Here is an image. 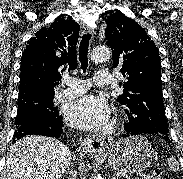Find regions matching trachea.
<instances>
[{
	"label": "trachea",
	"mask_w": 183,
	"mask_h": 179,
	"mask_svg": "<svg viewBox=\"0 0 183 179\" xmlns=\"http://www.w3.org/2000/svg\"><path fill=\"white\" fill-rule=\"evenodd\" d=\"M90 38L91 34H84L79 45V60L83 72H86V69L88 67V49Z\"/></svg>",
	"instance_id": "trachea-1"
}]
</instances>
